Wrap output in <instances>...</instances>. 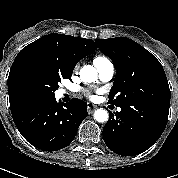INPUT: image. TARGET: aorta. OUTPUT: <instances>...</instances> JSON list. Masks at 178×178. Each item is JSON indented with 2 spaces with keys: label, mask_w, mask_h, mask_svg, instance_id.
Masks as SVG:
<instances>
[{
  "label": "aorta",
  "mask_w": 178,
  "mask_h": 178,
  "mask_svg": "<svg viewBox=\"0 0 178 178\" xmlns=\"http://www.w3.org/2000/svg\"><path fill=\"white\" fill-rule=\"evenodd\" d=\"M80 78L84 82H95L97 80V71L96 69L91 65H85L80 70ZM109 118V114L107 110L100 108L95 110L94 112V119L99 122H107Z\"/></svg>",
  "instance_id": "1"
}]
</instances>
